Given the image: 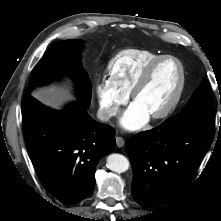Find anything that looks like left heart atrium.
I'll return each mask as SVG.
<instances>
[{
    "label": "left heart atrium",
    "instance_id": "1",
    "mask_svg": "<svg viewBox=\"0 0 221 221\" xmlns=\"http://www.w3.org/2000/svg\"><path fill=\"white\" fill-rule=\"evenodd\" d=\"M150 118V114L138 103H132L121 117V125L127 130H138Z\"/></svg>",
    "mask_w": 221,
    "mask_h": 221
}]
</instances>
